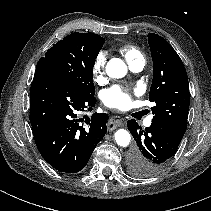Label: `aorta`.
<instances>
[{
    "instance_id": "obj_1",
    "label": "aorta",
    "mask_w": 211,
    "mask_h": 211,
    "mask_svg": "<svg viewBox=\"0 0 211 211\" xmlns=\"http://www.w3.org/2000/svg\"><path fill=\"white\" fill-rule=\"evenodd\" d=\"M106 73L111 78H123L127 73L126 64L119 58H112L106 65ZM114 138L119 146L129 145L131 136L125 129H119L115 132Z\"/></svg>"
}]
</instances>
